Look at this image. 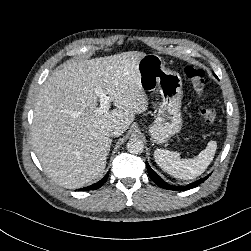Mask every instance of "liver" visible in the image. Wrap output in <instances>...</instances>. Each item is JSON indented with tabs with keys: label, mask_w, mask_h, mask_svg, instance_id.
Wrapping results in <instances>:
<instances>
[{
	"label": "liver",
	"mask_w": 251,
	"mask_h": 251,
	"mask_svg": "<svg viewBox=\"0 0 251 251\" xmlns=\"http://www.w3.org/2000/svg\"><path fill=\"white\" fill-rule=\"evenodd\" d=\"M146 54L129 51L85 61H68L43 83L34 107L32 144L45 172L68 189L103 176L111 139L109 129L127 130L148 108L138 62ZM96 88L116 109L98 114Z\"/></svg>",
	"instance_id": "obj_1"
}]
</instances>
